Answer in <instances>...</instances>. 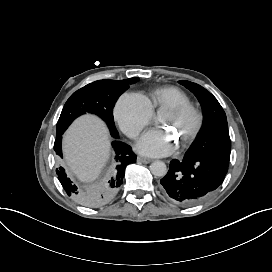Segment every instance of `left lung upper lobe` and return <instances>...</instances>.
<instances>
[{
  "label": "left lung upper lobe",
  "instance_id": "5c2ea615",
  "mask_svg": "<svg viewBox=\"0 0 272 272\" xmlns=\"http://www.w3.org/2000/svg\"><path fill=\"white\" fill-rule=\"evenodd\" d=\"M179 83L189 89L199 100L203 114L204 125L199 138L187 151L186 156L216 155L230 158L231 141L228 132L227 118L217 99L202 86L190 81Z\"/></svg>",
  "mask_w": 272,
  "mask_h": 272
}]
</instances>
